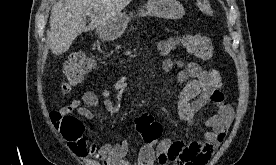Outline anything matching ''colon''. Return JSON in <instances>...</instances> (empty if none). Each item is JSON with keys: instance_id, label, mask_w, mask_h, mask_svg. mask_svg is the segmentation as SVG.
<instances>
[{"instance_id": "5ec220e1", "label": "colon", "mask_w": 276, "mask_h": 165, "mask_svg": "<svg viewBox=\"0 0 276 165\" xmlns=\"http://www.w3.org/2000/svg\"><path fill=\"white\" fill-rule=\"evenodd\" d=\"M180 43L195 57L201 60H210L214 55L211 40L201 34H193L183 38ZM175 42L168 41L161 45V52L167 53L174 46ZM95 67L94 59L83 53L76 52L70 55L64 65L65 80L62 83V91L69 92L74 87L79 86L84 81L85 76ZM55 128L61 133L63 138L70 144L76 145L80 142L83 134V125L74 116H63L59 112L51 115ZM136 128L142 134L146 143L155 142L161 135V125L149 114H142L136 119Z\"/></svg>"}]
</instances>
